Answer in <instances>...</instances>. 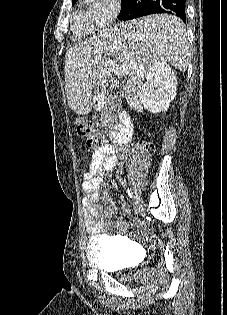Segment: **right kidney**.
I'll use <instances>...</instances> for the list:
<instances>
[{"mask_svg": "<svg viewBox=\"0 0 227 315\" xmlns=\"http://www.w3.org/2000/svg\"><path fill=\"white\" fill-rule=\"evenodd\" d=\"M147 82L141 88L140 101L152 113L166 111L177 94V77L165 62L150 67Z\"/></svg>", "mask_w": 227, "mask_h": 315, "instance_id": "obj_1", "label": "right kidney"}]
</instances>
